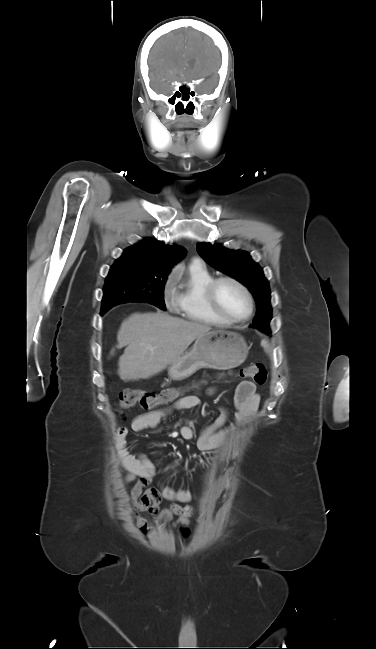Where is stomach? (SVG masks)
<instances>
[{
  "mask_svg": "<svg viewBox=\"0 0 376 649\" xmlns=\"http://www.w3.org/2000/svg\"><path fill=\"white\" fill-rule=\"evenodd\" d=\"M248 347L235 332L214 330L197 337L189 352L170 363L168 374L176 381L184 380L201 368L228 370L242 364Z\"/></svg>",
  "mask_w": 376,
  "mask_h": 649,
  "instance_id": "1",
  "label": "stomach"
}]
</instances>
